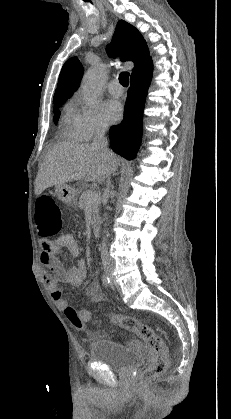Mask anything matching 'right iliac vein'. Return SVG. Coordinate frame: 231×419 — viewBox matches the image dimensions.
Instances as JSON below:
<instances>
[{"mask_svg": "<svg viewBox=\"0 0 231 419\" xmlns=\"http://www.w3.org/2000/svg\"><path fill=\"white\" fill-rule=\"evenodd\" d=\"M106 273H107L108 275H110V274H111V271L108 269V270H106Z\"/></svg>", "mask_w": 231, "mask_h": 419, "instance_id": "right-iliac-vein-1", "label": "right iliac vein"}]
</instances>
